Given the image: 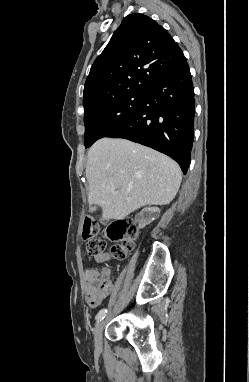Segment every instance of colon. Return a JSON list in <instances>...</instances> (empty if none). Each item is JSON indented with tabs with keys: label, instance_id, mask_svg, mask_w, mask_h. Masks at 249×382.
<instances>
[{
	"label": "colon",
	"instance_id": "obj_1",
	"mask_svg": "<svg viewBox=\"0 0 249 382\" xmlns=\"http://www.w3.org/2000/svg\"><path fill=\"white\" fill-rule=\"evenodd\" d=\"M99 230L97 220L86 215L83 219L82 237L87 241L86 249L90 255L100 254L105 247V242L102 239L96 238ZM139 234V225L133 220L119 219L108 224L105 236L107 239L116 242L112 248V254L116 259H123L126 254L132 250L134 242ZM86 277L91 281L94 293V300L104 299L111 290V283L107 280H102L101 273L94 269L88 268L85 271Z\"/></svg>",
	"mask_w": 249,
	"mask_h": 382
}]
</instances>
